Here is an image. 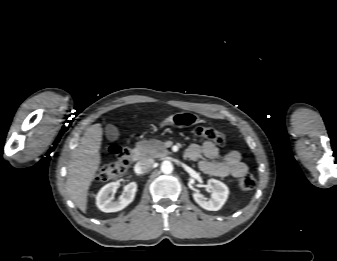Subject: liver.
<instances>
[{
  "label": "liver",
  "instance_id": "6515ba94",
  "mask_svg": "<svg viewBox=\"0 0 337 261\" xmlns=\"http://www.w3.org/2000/svg\"><path fill=\"white\" fill-rule=\"evenodd\" d=\"M102 135L100 123L89 127L72 152L68 165L67 194L84 213L87 210L89 187L101 164Z\"/></svg>",
  "mask_w": 337,
  "mask_h": 261
}]
</instances>
